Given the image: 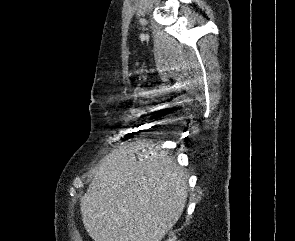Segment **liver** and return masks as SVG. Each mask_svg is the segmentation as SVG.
I'll return each instance as SVG.
<instances>
[{
  "label": "liver",
  "instance_id": "liver-1",
  "mask_svg": "<svg viewBox=\"0 0 295 241\" xmlns=\"http://www.w3.org/2000/svg\"><path fill=\"white\" fill-rule=\"evenodd\" d=\"M187 180L175 159L149 141L121 145L99 164L81 198L84 227L94 241H161L184 210Z\"/></svg>",
  "mask_w": 295,
  "mask_h": 241
}]
</instances>
